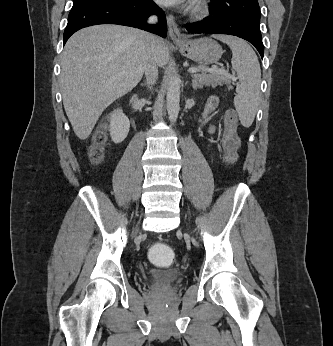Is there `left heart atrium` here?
I'll return each mask as SVG.
<instances>
[{"label":"left heart atrium","mask_w":333,"mask_h":346,"mask_svg":"<svg viewBox=\"0 0 333 346\" xmlns=\"http://www.w3.org/2000/svg\"><path fill=\"white\" fill-rule=\"evenodd\" d=\"M158 3L163 4V5H176L179 4L182 0H156Z\"/></svg>","instance_id":"left-heart-atrium-1"}]
</instances>
